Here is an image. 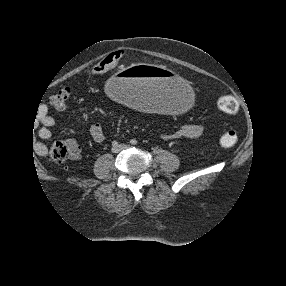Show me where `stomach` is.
Listing matches in <instances>:
<instances>
[{
  "label": "stomach",
  "instance_id": "1",
  "mask_svg": "<svg viewBox=\"0 0 286 286\" xmlns=\"http://www.w3.org/2000/svg\"><path fill=\"white\" fill-rule=\"evenodd\" d=\"M103 90L112 101H127L157 116H174L183 112L192 98L191 84L183 73L143 63L108 76Z\"/></svg>",
  "mask_w": 286,
  "mask_h": 286
}]
</instances>
